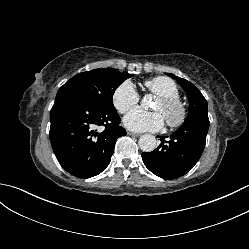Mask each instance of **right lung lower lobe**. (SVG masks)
<instances>
[{"label":"right lung lower lobe","instance_id":"1","mask_svg":"<svg viewBox=\"0 0 249 249\" xmlns=\"http://www.w3.org/2000/svg\"><path fill=\"white\" fill-rule=\"evenodd\" d=\"M50 122V141L57 160L80 178L100 174L110 163L117 138L126 134L116 109L91 106L70 93L57 94ZM100 126L104 128L97 130Z\"/></svg>","mask_w":249,"mask_h":249}]
</instances>
